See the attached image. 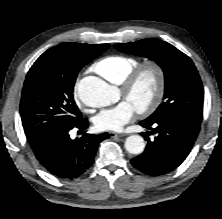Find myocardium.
<instances>
[{
    "instance_id": "1",
    "label": "myocardium",
    "mask_w": 222,
    "mask_h": 219,
    "mask_svg": "<svg viewBox=\"0 0 222 219\" xmlns=\"http://www.w3.org/2000/svg\"><path fill=\"white\" fill-rule=\"evenodd\" d=\"M146 71L151 72L153 75L155 80V89L152 98L146 105L135 108L136 112L140 115H149L153 113L163 99L166 86V74L163 66L153 60L142 62L136 65L120 84L123 96L127 98L132 92L140 76Z\"/></svg>"
}]
</instances>
